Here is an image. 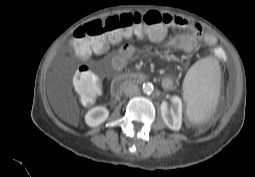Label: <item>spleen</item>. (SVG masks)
Returning a JSON list of instances; mask_svg holds the SVG:
<instances>
[{
	"label": "spleen",
	"mask_w": 255,
	"mask_h": 177,
	"mask_svg": "<svg viewBox=\"0 0 255 177\" xmlns=\"http://www.w3.org/2000/svg\"><path fill=\"white\" fill-rule=\"evenodd\" d=\"M219 91L220 67L215 58H203L190 67L184 79L183 93L191 122L202 123L212 116Z\"/></svg>",
	"instance_id": "3e777b00"
}]
</instances>
